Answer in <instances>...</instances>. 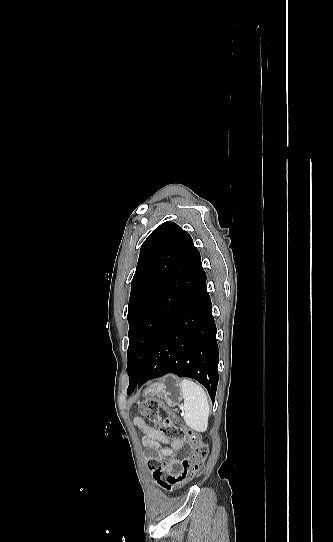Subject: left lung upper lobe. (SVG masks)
Returning <instances> with one entry per match:
<instances>
[{
    "label": "left lung upper lobe",
    "mask_w": 333,
    "mask_h": 542,
    "mask_svg": "<svg viewBox=\"0 0 333 542\" xmlns=\"http://www.w3.org/2000/svg\"><path fill=\"white\" fill-rule=\"evenodd\" d=\"M203 271L191 236L177 224L162 223L144 241L128 307L129 379L139 374L159 330Z\"/></svg>",
    "instance_id": "1"
}]
</instances>
